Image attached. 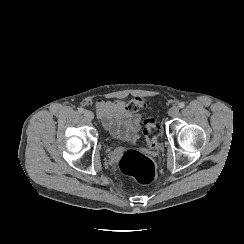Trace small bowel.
<instances>
[{"instance_id":"c3829d8e","label":"small bowel","mask_w":244,"mask_h":244,"mask_svg":"<svg viewBox=\"0 0 244 244\" xmlns=\"http://www.w3.org/2000/svg\"><path fill=\"white\" fill-rule=\"evenodd\" d=\"M94 109L102 126L114 138L127 144L137 142L141 127V116L130 112L125 100H97Z\"/></svg>"}]
</instances>
